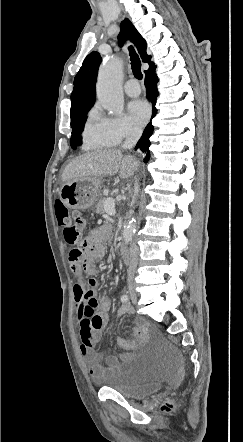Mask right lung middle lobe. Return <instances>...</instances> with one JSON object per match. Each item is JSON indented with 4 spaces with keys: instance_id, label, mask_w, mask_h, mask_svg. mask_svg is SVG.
<instances>
[{
    "instance_id": "1",
    "label": "right lung middle lobe",
    "mask_w": 243,
    "mask_h": 442,
    "mask_svg": "<svg viewBox=\"0 0 243 442\" xmlns=\"http://www.w3.org/2000/svg\"><path fill=\"white\" fill-rule=\"evenodd\" d=\"M86 114L87 112L82 113L76 121L71 123L72 136L70 139V144L72 148H76V146L82 142L81 131L83 130L86 122Z\"/></svg>"
}]
</instances>
